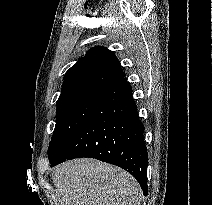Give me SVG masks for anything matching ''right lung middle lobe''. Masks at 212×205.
I'll return each instance as SVG.
<instances>
[{"instance_id":"dd1d6c3e","label":"right lung middle lobe","mask_w":212,"mask_h":205,"mask_svg":"<svg viewBox=\"0 0 212 205\" xmlns=\"http://www.w3.org/2000/svg\"><path fill=\"white\" fill-rule=\"evenodd\" d=\"M101 96H84L57 105L55 131L48 149L49 159L57 157L70 142L93 113Z\"/></svg>"}]
</instances>
